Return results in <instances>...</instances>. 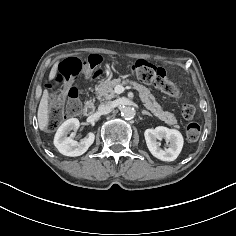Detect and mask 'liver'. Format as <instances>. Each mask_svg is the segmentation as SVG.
<instances>
[{
	"label": "liver",
	"instance_id": "liver-1",
	"mask_svg": "<svg viewBox=\"0 0 236 236\" xmlns=\"http://www.w3.org/2000/svg\"><path fill=\"white\" fill-rule=\"evenodd\" d=\"M58 63L56 62L49 74V80H52L55 78L58 70ZM48 98H49V93L45 89L43 92V96L41 98L39 107H38V113H37V118H38V125L40 130H44L49 122V109H48Z\"/></svg>",
	"mask_w": 236,
	"mask_h": 236
}]
</instances>
